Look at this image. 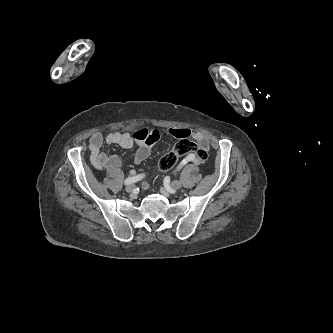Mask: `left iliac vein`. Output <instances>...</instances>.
Here are the masks:
<instances>
[{
    "instance_id": "obj_1",
    "label": "left iliac vein",
    "mask_w": 333,
    "mask_h": 333,
    "mask_svg": "<svg viewBox=\"0 0 333 333\" xmlns=\"http://www.w3.org/2000/svg\"><path fill=\"white\" fill-rule=\"evenodd\" d=\"M171 187L175 190H178L182 187V183L178 180H175L171 183Z\"/></svg>"
}]
</instances>
